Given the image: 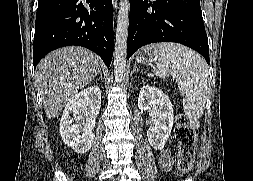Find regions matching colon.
I'll return each instance as SVG.
<instances>
[{"mask_svg":"<svg viewBox=\"0 0 253 181\" xmlns=\"http://www.w3.org/2000/svg\"><path fill=\"white\" fill-rule=\"evenodd\" d=\"M175 139L178 148L177 166L181 173H186L192 167L194 160L196 152V133L189 125L187 118L183 115L177 117Z\"/></svg>","mask_w":253,"mask_h":181,"instance_id":"colon-1","label":"colon"}]
</instances>
